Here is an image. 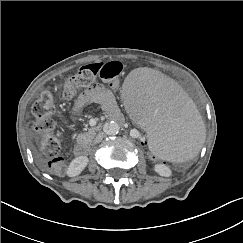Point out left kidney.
I'll list each match as a JSON object with an SVG mask.
<instances>
[{"label": "left kidney", "instance_id": "left-kidney-1", "mask_svg": "<svg viewBox=\"0 0 243 243\" xmlns=\"http://www.w3.org/2000/svg\"><path fill=\"white\" fill-rule=\"evenodd\" d=\"M154 170L160 176L170 177L172 175V171H171L170 168H165V167H161V166L155 165Z\"/></svg>", "mask_w": 243, "mask_h": 243}]
</instances>
